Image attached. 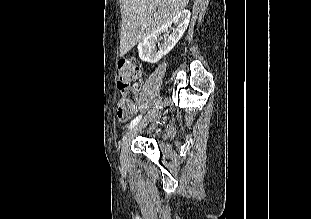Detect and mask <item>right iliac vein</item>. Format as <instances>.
Returning a JSON list of instances; mask_svg holds the SVG:
<instances>
[{"label": "right iliac vein", "mask_w": 311, "mask_h": 219, "mask_svg": "<svg viewBox=\"0 0 311 219\" xmlns=\"http://www.w3.org/2000/svg\"><path fill=\"white\" fill-rule=\"evenodd\" d=\"M159 104L160 102L157 103V106ZM156 113L157 111L154 108L139 124L131 128V130L124 137L123 142H122L121 155H120L121 161L123 163L128 161L129 147H130L131 141L138 134L140 130L146 127V125L153 120Z\"/></svg>", "instance_id": "right-iliac-vein-1"}]
</instances>
